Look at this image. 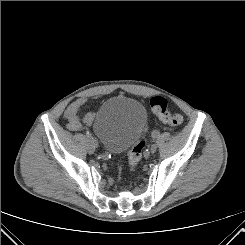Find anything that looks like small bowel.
<instances>
[{
    "label": "small bowel",
    "instance_id": "obj_1",
    "mask_svg": "<svg viewBox=\"0 0 245 245\" xmlns=\"http://www.w3.org/2000/svg\"><path fill=\"white\" fill-rule=\"evenodd\" d=\"M86 99H78L73 102L67 112H66V119H67V128L70 131H78L82 124H91L93 121V115L91 113H86L85 115L81 116L80 112L82 108L86 104Z\"/></svg>",
    "mask_w": 245,
    "mask_h": 245
}]
</instances>
